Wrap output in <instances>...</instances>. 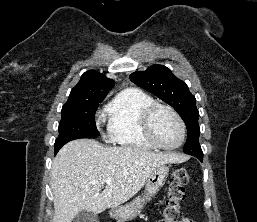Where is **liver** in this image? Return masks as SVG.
Instances as JSON below:
<instances>
[{
  "mask_svg": "<svg viewBox=\"0 0 257 222\" xmlns=\"http://www.w3.org/2000/svg\"><path fill=\"white\" fill-rule=\"evenodd\" d=\"M184 155L154 153L133 147H107L79 139L64 145L53 160V222H72L82 210L94 214L133 197L160 165L179 163ZM111 179L101 192L100 182Z\"/></svg>",
  "mask_w": 257,
  "mask_h": 222,
  "instance_id": "6515ba94",
  "label": "liver"
}]
</instances>
